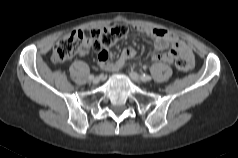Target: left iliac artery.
Segmentation results:
<instances>
[{"label": "left iliac artery", "mask_w": 238, "mask_h": 158, "mask_svg": "<svg viewBox=\"0 0 238 158\" xmlns=\"http://www.w3.org/2000/svg\"><path fill=\"white\" fill-rule=\"evenodd\" d=\"M152 78L149 75L143 74L141 75V80L142 81H150Z\"/></svg>", "instance_id": "left-iliac-artery-1"}]
</instances>
